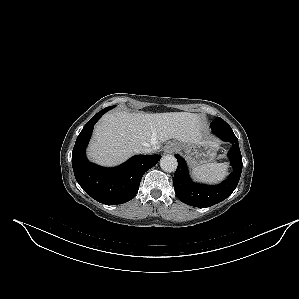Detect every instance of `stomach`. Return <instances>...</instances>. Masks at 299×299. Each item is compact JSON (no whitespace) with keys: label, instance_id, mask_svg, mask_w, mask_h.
I'll return each mask as SVG.
<instances>
[{"label":"stomach","instance_id":"1","mask_svg":"<svg viewBox=\"0 0 299 299\" xmlns=\"http://www.w3.org/2000/svg\"><path fill=\"white\" fill-rule=\"evenodd\" d=\"M178 151H184L185 157L192 166H199L214 160L218 150V143L215 141L201 140L196 143H176Z\"/></svg>","mask_w":299,"mask_h":299}]
</instances>
